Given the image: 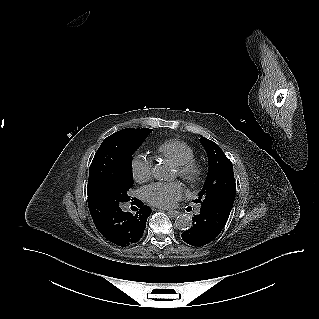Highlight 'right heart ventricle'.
<instances>
[{"label":"right heart ventricle","instance_id":"1","mask_svg":"<svg viewBox=\"0 0 319 319\" xmlns=\"http://www.w3.org/2000/svg\"><path fill=\"white\" fill-rule=\"evenodd\" d=\"M157 152L174 165H182L194 159V150L185 141L170 139L157 147Z\"/></svg>","mask_w":319,"mask_h":319}]
</instances>
